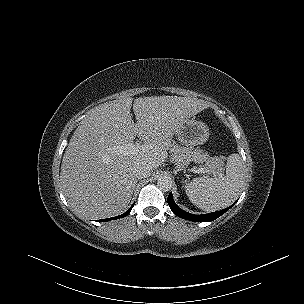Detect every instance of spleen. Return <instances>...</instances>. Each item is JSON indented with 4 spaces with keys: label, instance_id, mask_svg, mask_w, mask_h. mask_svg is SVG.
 Masks as SVG:
<instances>
[{
    "label": "spleen",
    "instance_id": "3e777b00",
    "mask_svg": "<svg viewBox=\"0 0 304 304\" xmlns=\"http://www.w3.org/2000/svg\"><path fill=\"white\" fill-rule=\"evenodd\" d=\"M243 184L242 158L234 153L227 157L225 175L196 178L185 188L194 205L204 211H215L229 206L240 194Z\"/></svg>",
    "mask_w": 304,
    "mask_h": 304
}]
</instances>
